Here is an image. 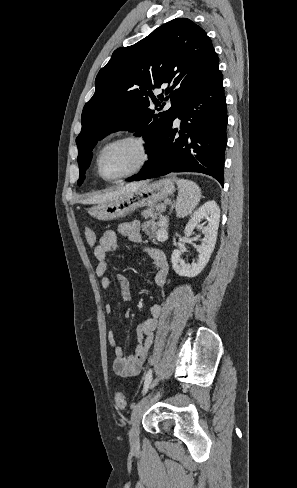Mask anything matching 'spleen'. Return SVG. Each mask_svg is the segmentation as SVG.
<instances>
[{"label":"spleen","instance_id":"spleen-1","mask_svg":"<svg viewBox=\"0 0 297 488\" xmlns=\"http://www.w3.org/2000/svg\"><path fill=\"white\" fill-rule=\"evenodd\" d=\"M174 181L179 189L176 213L177 216L183 217L190 213L199 203L201 192L197 184L192 181L184 179H174Z\"/></svg>","mask_w":297,"mask_h":488}]
</instances>
